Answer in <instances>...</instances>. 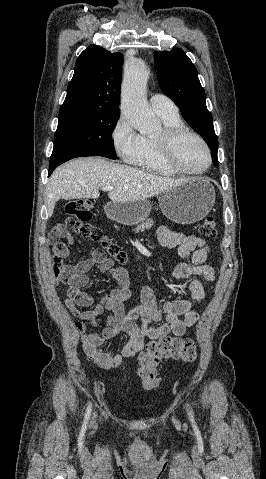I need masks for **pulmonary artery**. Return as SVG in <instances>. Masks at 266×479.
<instances>
[{
    "mask_svg": "<svg viewBox=\"0 0 266 479\" xmlns=\"http://www.w3.org/2000/svg\"><path fill=\"white\" fill-rule=\"evenodd\" d=\"M150 105L157 114L175 116L178 115V108L174 102L163 94H153L150 98Z\"/></svg>",
    "mask_w": 266,
    "mask_h": 479,
    "instance_id": "pulmonary-artery-1",
    "label": "pulmonary artery"
}]
</instances>
